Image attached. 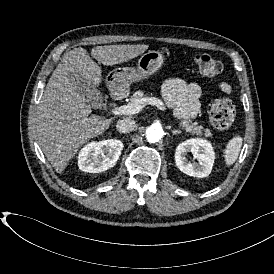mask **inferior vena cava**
<instances>
[{"label":"inferior vena cava","instance_id":"inferior-vena-cava-1","mask_svg":"<svg viewBox=\"0 0 274 274\" xmlns=\"http://www.w3.org/2000/svg\"><path fill=\"white\" fill-rule=\"evenodd\" d=\"M116 128L120 133H129L136 128V122L130 118L119 120Z\"/></svg>","mask_w":274,"mask_h":274}]
</instances>
